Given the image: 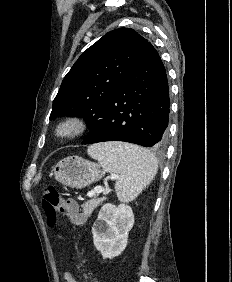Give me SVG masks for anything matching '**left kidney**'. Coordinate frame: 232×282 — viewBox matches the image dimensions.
I'll list each match as a JSON object with an SVG mask.
<instances>
[{
	"label": "left kidney",
	"mask_w": 232,
	"mask_h": 282,
	"mask_svg": "<svg viewBox=\"0 0 232 282\" xmlns=\"http://www.w3.org/2000/svg\"><path fill=\"white\" fill-rule=\"evenodd\" d=\"M133 224L131 207L107 203L101 208L92 227V234L94 245L104 259H112L124 251Z\"/></svg>",
	"instance_id": "obj_1"
}]
</instances>
